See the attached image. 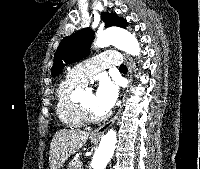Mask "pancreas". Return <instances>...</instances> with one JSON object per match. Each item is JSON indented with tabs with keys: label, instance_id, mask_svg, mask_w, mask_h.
<instances>
[{
	"label": "pancreas",
	"instance_id": "obj_1",
	"mask_svg": "<svg viewBox=\"0 0 200 169\" xmlns=\"http://www.w3.org/2000/svg\"><path fill=\"white\" fill-rule=\"evenodd\" d=\"M79 158H73L68 166V169H78L79 168Z\"/></svg>",
	"mask_w": 200,
	"mask_h": 169
}]
</instances>
